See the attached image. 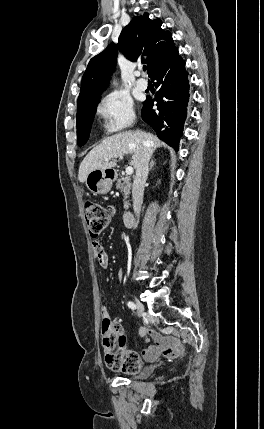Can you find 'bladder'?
Segmentation results:
<instances>
[{
	"mask_svg": "<svg viewBox=\"0 0 264 429\" xmlns=\"http://www.w3.org/2000/svg\"><path fill=\"white\" fill-rule=\"evenodd\" d=\"M155 368H156L155 366L145 367L143 370H141L139 372V374L136 377L140 378V379L147 378V377L151 376L154 373ZM132 374L136 375V373H132Z\"/></svg>",
	"mask_w": 264,
	"mask_h": 429,
	"instance_id": "obj_1",
	"label": "bladder"
}]
</instances>
